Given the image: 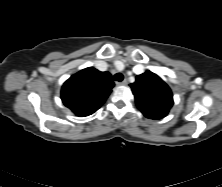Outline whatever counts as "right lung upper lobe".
I'll return each mask as SVG.
<instances>
[{"mask_svg": "<svg viewBox=\"0 0 222 187\" xmlns=\"http://www.w3.org/2000/svg\"><path fill=\"white\" fill-rule=\"evenodd\" d=\"M114 87L109 72L93 67L72 75L62 86L61 99L77 116L91 115L105 102Z\"/></svg>", "mask_w": 222, "mask_h": 187, "instance_id": "right-lung-upper-lobe-1", "label": "right lung upper lobe"}]
</instances>
